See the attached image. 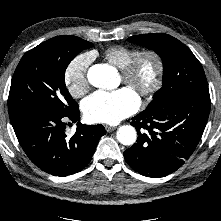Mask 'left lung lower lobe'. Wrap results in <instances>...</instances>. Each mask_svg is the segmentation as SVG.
I'll return each mask as SVG.
<instances>
[{
	"instance_id": "0a47b994",
	"label": "left lung lower lobe",
	"mask_w": 221,
	"mask_h": 221,
	"mask_svg": "<svg viewBox=\"0 0 221 221\" xmlns=\"http://www.w3.org/2000/svg\"><path fill=\"white\" fill-rule=\"evenodd\" d=\"M210 100L185 96L170 100L156 111L132 118L136 143L124 151L129 166L147 177H163L184 164L201 139Z\"/></svg>"
}]
</instances>
